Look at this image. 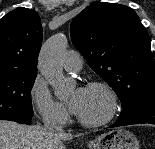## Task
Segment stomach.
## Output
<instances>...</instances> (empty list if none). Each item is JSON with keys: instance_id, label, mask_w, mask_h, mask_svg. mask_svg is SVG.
Masks as SVG:
<instances>
[{"instance_id": "obj_1", "label": "stomach", "mask_w": 155, "mask_h": 149, "mask_svg": "<svg viewBox=\"0 0 155 149\" xmlns=\"http://www.w3.org/2000/svg\"><path fill=\"white\" fill-rule=\"evenodd\" d=\"M89 149H140L134 134L124 129H113L88 142Z\"/></svg>"}]
</instances>
